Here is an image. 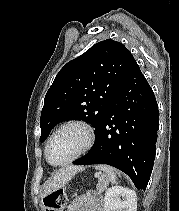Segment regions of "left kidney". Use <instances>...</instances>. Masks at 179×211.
<instances>
[{
  "label": "left kidney",
  "instance_id": "1",
  "mask_svg": "<svg viewBox=\"0 0 179 211\" xmlns=\"http://www.w3.org/2000/svg\"><path fill=\"white\" fill-rule=\"evenodd\" d=\"M104 211H137V196L133 190L113 186L106 190Z\"/></svg>",
  "mask_w": 179,
  "mask_h": 211
}]
</instances>
